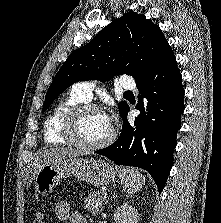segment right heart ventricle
<instances>
[{
	"instance_id": "1",
	"label": "right heart ventricle",
	"mask_w": 221,
	"mask_h": 223,
	"mask_svg": "<svg viewBox=\"0 0 221 223\" xmlns=\"http://www.w3.org/2000/svg\"><path fill=\"white\" fill-rule=\"evenodd\" d=\"M86 100L70 90L64 94L55 104L49 116L45 120L43 135L46 143L66 144L67 141L61 135V126L66 112L77 104L85 103Z\"/></svg>"
}]
</instances>
